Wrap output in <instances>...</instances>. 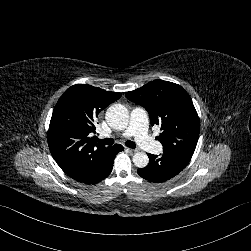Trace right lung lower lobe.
<instances>
[{
    "instance_id": "98d812e1",
    "label": "right lung lower lobe",
    "mask_w": 251,
    "mask_h": 251,
    "mask_svg": "<svg viewBox=\"0 0 251 251\" xmlns=\"http://www.w3.org/2000/svg\"><path fill=\"white\" fill-rule=\"evenodd\" d=\"M123 150V146L120 144H116L112 146V151L110 154V157L106 161V163L100 167L99 169L89 173L87 176L81 178V179H75L76 181H79L81 183L85 184H96L106 178L112 171L113 168V161L115 156L118 152Z\"/></svg>"
}]
</instances>
